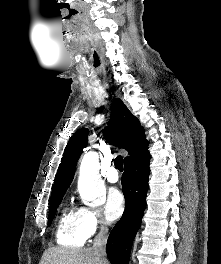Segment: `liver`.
<instances>
[{"instance_id":"liver-1","label":"liver","mask_w":221,"mask_h":264,"mask_svg":"<svg viewBox=\"0 0 221 264\" xmlns=\"http://www.w3.org/2000/svg\"><path fill=\"white\" fill-rule=\"evenodd\" d=\"M39 264H109L100 260L92 248L52 247L44 251Z\"/></svg>"}]
</instances>
